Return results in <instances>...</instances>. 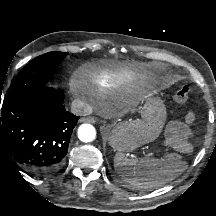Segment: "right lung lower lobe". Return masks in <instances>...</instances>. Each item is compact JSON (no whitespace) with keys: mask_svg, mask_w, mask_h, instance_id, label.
<instances>
[{"mask_svg":"<svg viewBox=\"0 0 216 216\" xmlns=\"http://www.w3.org/2000/svg\"><path fill=\"white\" fill-rule=\"evenodd\" d=\"M79 117L66 111L61 93L41 87L2 106L0 157L36 177L58 172ZM13 162V163H14Z\"/></svg>","mask_w":216,"mask_h":216,"instance_id":"obj_1","label":"right lung lower lobe"}]
</instances>
